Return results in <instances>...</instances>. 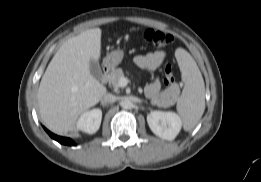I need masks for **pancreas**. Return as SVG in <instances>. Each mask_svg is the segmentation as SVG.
Masks as SVG:
<instances>
[{"label":"pancreas","mask_w":261,"mask_h":182,"mask_svg":"<svg viewBox=\"0 0 261 182\" xmlns=\"http://www.w3.org/2000/svg\"><path fill=\"white\" fill-rule=\"evenodd\" d=\"M124 77V73L121 68L113 70L108 76V82L114 88L119 87V80ZM177 95L173 92L164 91L156 99H152V104L172 105L176 101Z\"/></svg>","instance_id":"pancreas-1"}]
</instances>
